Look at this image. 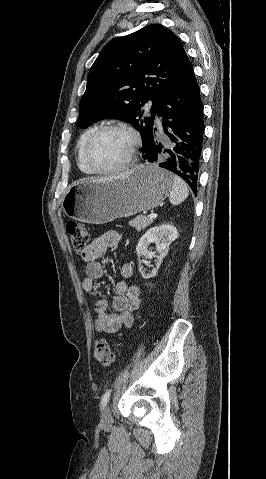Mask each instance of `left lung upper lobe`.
<instances>
[{
	"mask_svg": "<svg viewBox=\"0 0 266 479\" xmlns=\"http://www.w3.org/2000/svg\"><path fill=\"white\" fill-rule=\"evenodd\" d=\"M190 66L180 39L162 25L113 39L88 74L79 126L108 118L124 120L140 132L144 147L160 103ZM149 100L152 117L143 118L140 110Z\"/></svg>",
	"mask_w": 266,
	"mask_h": 479,
	"instance_id": "left-lung-upper-lobe-1",
	"label": "left lung upper lobe"
}]
</instances>
